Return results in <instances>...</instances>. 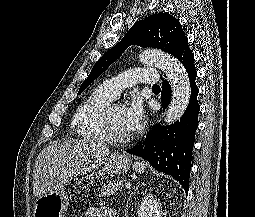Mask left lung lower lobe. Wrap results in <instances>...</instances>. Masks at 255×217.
Masks as SVG:
<instances>
[{
	"label": "left lung lower lobe",
	"instance_id": "obj_1",
	"mask_svg": "<svg viewBox=\"0 0 255 217\" xmlns=\"http://www.w3.org/2000/svg\"><path fill=\"white\" fill-rule=\"evenodd\" d=\"M186 69L191 87V98L179 121L170 126L156 125L146 136L145 142L126 150L130 154L147 160L156 170L166 173L180 182L186 193L189 189L190 166L195 132L198 127L200 110L196 86L197 71L194 68V55L189 46L175 55ZM171 99V87L168 81L162 83L161 101L163 109Z\"/></svg>",
	"mask_w": 255,
	"mask_h": 217
}]
</instances>
